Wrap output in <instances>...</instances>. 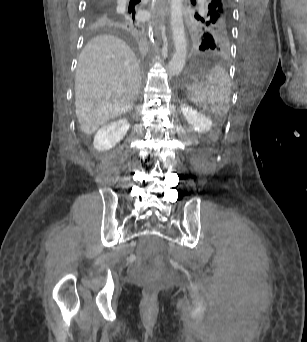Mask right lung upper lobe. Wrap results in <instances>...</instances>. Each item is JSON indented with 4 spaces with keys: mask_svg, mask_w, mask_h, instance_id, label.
<instances>
[{
    "mask_svg": "<svg viewBox=\"0 0 307 342\" xmlns=\"http://www.w3.org/2000/svg\"><path fill=\"white\" fill-rule=\"evenodd\" d=\"M140 0H88L85 27L90 33L139 38L144 32ZM136 5V6H135Z\"/></svg>",
    "mask_w": 307,
    "mask_h": 342,
    "instance_id": "cb5924a9",
    "label": "right lung upper lobe"
}]
</instances>
